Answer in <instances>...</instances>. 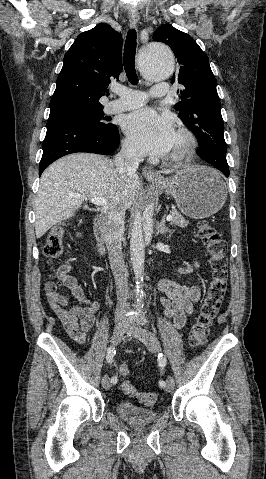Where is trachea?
<instances>
[{"label": "trachea", "instance_id": "trachea-1", "mask_svg": "<svg viewBox=\"0 0 266 479\" xmlns=\"http://www.w3.org/2000/svg\"><path fill=\"white\" fill-rule=\"evenodd\" d=\"M136 38L137 36L135 29L129 30L125 41L123 54L126 76L132 85H137L139 81L135 69V54L137 45Z\"/></svg>", "mask_w": 266, "mask_h": 479}]
</instances>
